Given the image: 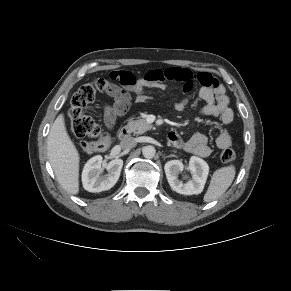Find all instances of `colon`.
I'll use <instances>...</instances> for the list:
<instances>
[{"label":"colon","mask_w":291,"mask_h":291,"mask_svg":"<svg viewBox=\"0 0 291 291\" xmlns=\"http://www.w3.org/2000/svg\"><path fill=\"white\" fill-rule=\"evenodd\" d=\"M111 87L109 80L97 78L81 86L71 99L68 116L72 130L79 138L90 139L79 142L80 149L86 153L102 151L110 143L108 134L85 110L95 100L97 93L108 92ZM220 159L222 162L229 163L236 159V154L233 149L226 147L221 150Z\"/></svg>","instance_id":"obj_1"}]
</instances>
